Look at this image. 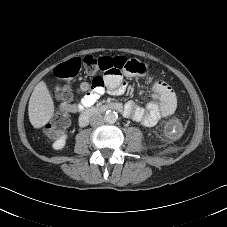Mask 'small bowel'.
<instances>
[{"mask_svg":"<svg viewBox=\"0 0 227 227\" xmlns=\"http://www.w3.org/2000/svg\"><path fill=\"white\" fill-rule=\"evenodd\" d=\"M133 74V73H130ZM105 85L95 87L92 83L83 81L80 90L84 93L76 103H60L56 101L58 109L62 112L75 113L95 104L98 99L107 92L114 96L125 93L127 84L121 75H108L104 79ZM177 106V98L174 90L164 81H157L153 85L150 101L145 107H141L134 101H128L124 107V115L142 123L146 127L155 126L161 118L174 113Z\"/></svg>","mask_w":227,"mask_h":227,"instance_id":"1","label":"small bowel"}]
</instances>
